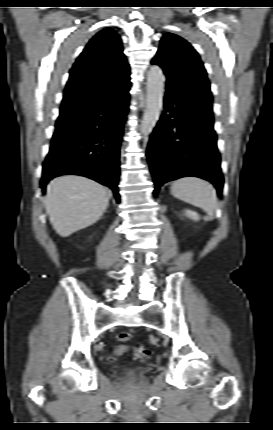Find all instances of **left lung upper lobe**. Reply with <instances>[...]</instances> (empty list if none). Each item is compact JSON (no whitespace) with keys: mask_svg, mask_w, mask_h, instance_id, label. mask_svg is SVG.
Returning a JSON list of instances; mask_svg holds the SVG:
<instances>
[{"mask_svg":"<svg viewBox=\"0 0 273 430\" xmlns=\"http://www.w3.org/2000/svg\"><path fill=\"white\" fill-rule=\"evenodd\" d=\"M166 76L173 95L196 113L213 119L212 94L207 72L192 46L183 38L166 33L152 60Z\"/></svg>","mask_w":273,"mask_h":430,"instance_id":"left-lung-upper-lobe-1","label":"left lung upper lobe"}]
</instances>
